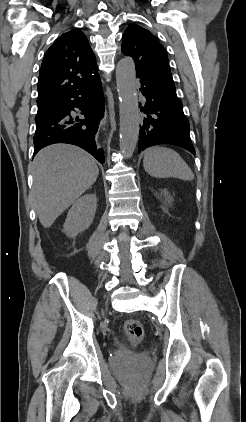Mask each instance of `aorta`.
<instances>
[{
    "mask_svg": "<svg viewBox=\"0 0 246 422\" xmlns=\"http://www.w3.org/2000/svg\"><path fill=\"white\" fill-rule=\"evenodd\" d=\"M116 83L119 96L120 149L126 158L132 157L137 145L140 115L136 89V71L133 60L121 59L116 66Z\"/></svg>",
    "mask_w": 246,
    "mask_h": 422,
    "instance_id": "1",
    "label": "aorta"
}]
</instances>
